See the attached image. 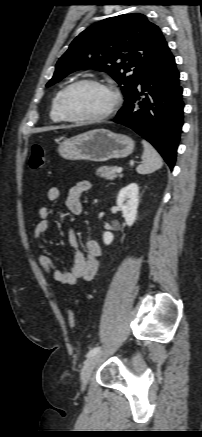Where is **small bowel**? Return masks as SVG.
Masks as SVG:
<instances>
[{
	"label": "small bowel",
	"instance_id": "obj_1",
	"mask_svg": "<svg viewBox=\"0 0 202 437\" xmlns=\"http://www.w3.org/2000/svg\"><path fill=\"white\" fill-rule=\"evenodd\" d=\"M91 184L87 180H82L72 186L66 197L65 205L68 211L73 215H80L83 210L81 197L89 191ZM60 197L58 187H51L47 191V198L50 202H55ZM40 221L35 226L33 238L37 246L41 245L44 234L51 227L50 209L41 207L38 211ZM68 242L73 249V263L69 270H60L53 259L46 254H41L38 257V262L48 276L62 285L74 286L80 279L90 281L94 278L101 267V245L95 240H88L85 243L86 251L78 250V240L74 229H70L68 233Z\"/></svg>",
	"mask_w": 202,
	"mask_h": 437
}]
</instances>
